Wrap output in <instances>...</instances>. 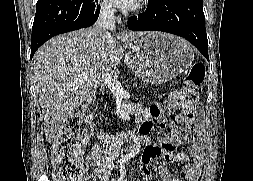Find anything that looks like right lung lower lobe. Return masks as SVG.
<instances>
[{"label": "right lung lower lobe", "mask_w": 253, "mask_h": 181, "mask_svg": "<svg viewBox=\"0 0 253 181\" xmlns=\"http://www.w3.org/2000/svg\"><path fill=\"white\" fill-rule=\"evenodd\" d=\"M97 1H38L32 26L31 58L35 51L51 37L93 25L100 11Z\"/></svg>", "instance_id": "obj_1"}]
</instances>
